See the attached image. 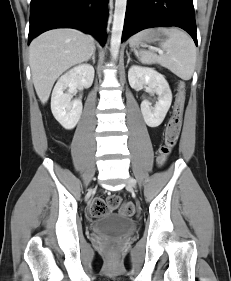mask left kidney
Wrapping results in <instances>:
<instances>
[{
	"label": "left kidney",
	"instance_id": "5707ae66",
	"mask_svg": "<svg viewBox=\"0 0 231 281\" xmlns=\"http://www.w3.org/2000/svg\"><path fill=\"white\" fill-rule=\"evenodd\" d=\"M128 80L132 88L148 86L151 93L158 95V101L152 107L148 100L141 103V112L145 123L149 127H158L164 120L172 102V93L165 77L156 70L137 65L128 71Z\"/></svg>",
	"mask_w": 231,
	"mask_h": 281
}]
</instances>
